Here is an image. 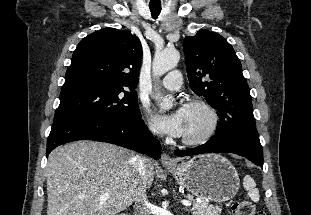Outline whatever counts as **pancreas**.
<instances>
[{"label":"pancreas","mask_w":311,"mask_h":215,"mask_svg":"<svg viewBox=\"0 0 311 215\" xmlns=\"http://www.w3.org/2000/svg\"><path fill=\"white\" fill-rule=\"evenodd\" d=\"M186 198L193 203L191 208L193 215H220L222 211L220 207L210 205L207 202H196L190 194H187Z\"/></svg>","instance_id":"pancreas-1"}]
</instances>
